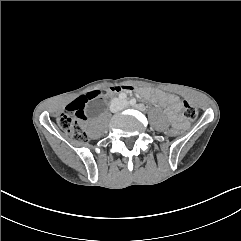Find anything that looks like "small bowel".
Instances as JSON below:
<instances>
[{
    "mask_svg": "<svg viewBox=\"0 0 241 241\" xmlns=\"http://www.w3.org/2000/svg\"><path fill=\"white\" fill-rule=\"evenodd\" d=\"M130 91L129 89H126L125 87L118 89V91ZM143 94L146 99L150 101H154L159 103L161 106H164L167 108V113L168 115L176 120V124L178 126H181L182 123L180 122L179 119L176 118V115L181 109V101L179 97L173 94H167L162 91H149L145 90L143 91Z\"/></svg>",
    "mask_w": 241,
    "mask_h": 241,
    "instance_id": "c3829d8e",
    "label": "small bowel"
}]
</instances>
